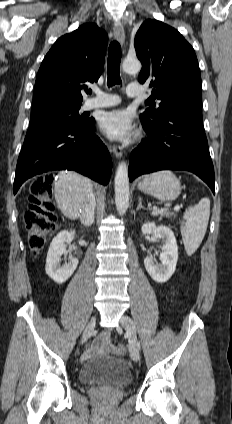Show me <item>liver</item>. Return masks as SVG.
<instances>
[{
	"label": "liver",
	"instance_id": "obj_1",
	"mask_svg": "<svg viewBox=\"0 0 232 424\" xmlns=\"http://www.w3.org/2000/svg\"><path fill=\"white\" fill-rule=\"evenodd\" d=\"M92 191L91 181L74 171L61 172L54 182V196L58 208L69 219H77L86 196Z\"/></svg>",
	"mask_w": 232,
	"mask_h": 424
}]
</instances>
